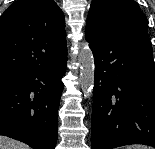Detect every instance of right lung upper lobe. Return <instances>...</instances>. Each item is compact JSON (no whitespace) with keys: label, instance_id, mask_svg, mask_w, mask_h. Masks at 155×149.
I'll return each mask as SVG.
<instances>
[{"label":"right lung upper lobe","instance_id":"obj_1","mask_svg":"<svg viewBox=\"0 0 155 149\" xmlns=\"http://www.w3.org/2000/svg\"><path fill=\"white\" fill-rule=\"evenodd\" d=\"M65 19L53 0H17L0 17V71L24 74L67 53Z\"/></svg>","mask_w":155,"mask_h":149}]
</instances>
